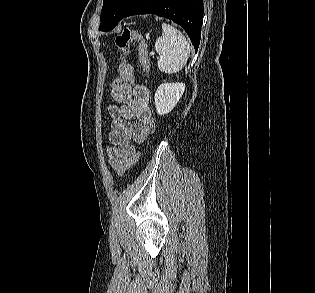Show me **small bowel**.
<instances>
[{
	"label": "small bowel",
	"mask_w": 315,
	"mask_h": 293,
	"mask_svg": "<svg viewBox=\"0 0 315 293\" xmlns=\"http://www.w3.org/2000/svg\"><path fill=\"white\" fill-rule=\"evenodd\" d=\"M111 96L119 105L107 108L112 119L107 154L110 164L119 169L134 154L133 143H142L154 131L155 120L148 104L146 87L124 83L118 94L111 90Z\"/></svg>",
	"instance_id": "c3829d8e"
}]
</instances>
